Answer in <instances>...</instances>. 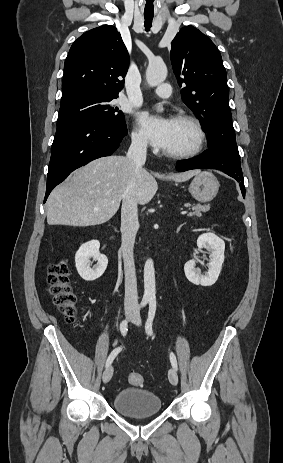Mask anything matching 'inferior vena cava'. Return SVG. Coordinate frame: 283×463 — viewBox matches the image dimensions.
<instances>
[{
  "label": "inferior vena cava",
  "instance_id": "1",
  "mask_svg": "<svg viewBox=\"0 0 283 463\" xmlns=\"http://www.w3.org/2000/svg\"><path fill=\"white\" fill-rule=\"evenodd\" d=\"M147 140L142 137L132 138V143L127 153V159L133 170V177L129 181L122 197L121 208V233L122 253L125 273V299L124 308L126 311H136L139 308L136 270L134 264V243L139 229L138 207L136 199L137 176L146 161Z\"/></svg>",
  "mask_w": 283,
  "mask_h": 463
}]
</instances>
